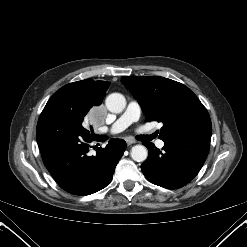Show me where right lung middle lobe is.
<instances>
[{
	"instance_id": "dd1d6c3e",
	"label": "right lung middle lobe",
	"mask_w": 247,
	"mask_h": 247,
	"mask_svg": "<svg viewBox=\"0 0 247 247\" xmlns=\"http://www.w3.org/2000/svg\"><path fill=\"white\" fill-rule=\"evenodd\" d=\"M102 102L75 85H65L56 91L47 102L43 112H55L82 123Z\"/></svg>"
}]
</instances>
